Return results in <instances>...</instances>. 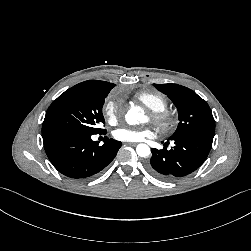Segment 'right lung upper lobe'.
Segmentation results:
<instances>
[{"label":"right lung upper lobe","mask_w":251,"mask_h":251,"mask_svg":"<svg viewBox=\"0 0 251 251\" xmlns=\"http://www.w3.org/2000/svg\"><path fill=\"white\" fill-rule=\"evenodd\" d=\"M79 87L91 88L99 92H110V90L115 87V84L100 81V80H88L77 84Z\"/></svg>","instance_id":"right-lung-upper-lobe-1"}]
</instances>
